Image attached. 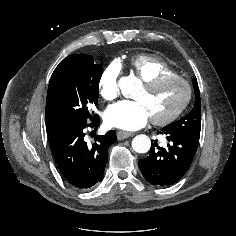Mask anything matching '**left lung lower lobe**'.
<instances>
[{
	"instance_id": "1",
	"label": "left lung lower lobe",
	"mask_w": 236,
	"mask_h": 236,
	"mask_svg": "<svg viewBox=\"0 0 236 236\" xmlns=\"http://www.w3.org/2000/svg\"><path fill=\"white\" fill-rule=\"evenodd\" d=\"M158 134L166 135V148L152 142L150 155L139 160L144 178L152 185L169 186L177 183L188 171L195 156L199 136L164 127Z\"/></svg>"
}]
</instances>
